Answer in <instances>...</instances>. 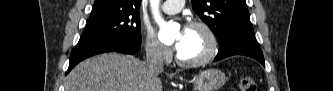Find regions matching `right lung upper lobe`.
Here are the masks:
<instances>
[{
  "mask_svg": "<svg viewBox=\"0 0 333 91\" xmlns=\"http://www.w3.org/2000/svg\"><path fill=\"white\" fill-rule=\"evenodd\" d=\"M141 0H95L91 18L138 10Z\"/></svg>",
  "mask_w": 333,
  "mask_h": 91,
  "instance_id": "right-lung-upper-lobe-1",
  "label": "right lung upper lobe"
}]
</instances>
